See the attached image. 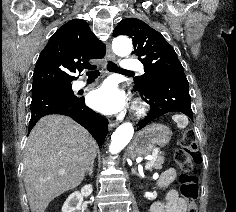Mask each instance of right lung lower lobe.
<instances>
[{"mask_svg":"<svg viewBox=\"0 0 236 212\" xmlns=\"http://www.w3.org/2000/svg\"><path fill=\"white\" fill-rule=\"evenodd\" d=\"M32 112L29 132L36 122L49 114H62L73 118L88 129L99 145H102L108 132V120L86 107L84 98L71 99L52 87L32 88Z\"/></svg>","mask_w":236,"mask_h":212,"instance_id":"98d812e1","label":"right lung lower lobe"}]
</instances>
